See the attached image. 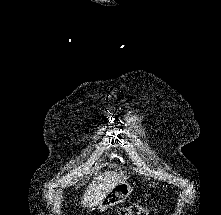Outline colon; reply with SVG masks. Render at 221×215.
Listing matches in <instances>:
<instances>
[{"label":"colon","mask_w":221,"mask_h":215,"mask_svg":"<svg viewBox=\"0 0 221 215\" xmlns=\"http://www.w3.org/2000/svg\"><path fill=\"white\" fill-rule=\"evenodd\" d=\"M149 210L137 203H133L129 206L121 208L118 212L117 215H148Z\"/></svg>","instance_id":"colon-1"}]
</instances>
